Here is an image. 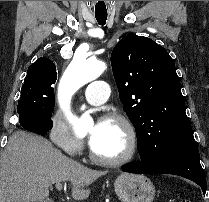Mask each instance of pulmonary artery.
<instances>
[{"label": "pulmonary artery", "instance_id": "pulmonary-artery-1", "mask_svg": "<svg viewBox=\"0 0 209 202\" xmlns=\"http://www.w3.org/2000/svg\"><path fill=\"white\" fill-rule=\"evenodd\" d=\"M111 85L103 80H95L85 88V98L91 105H102L109 95Z\"/></svg>", "mask_w": 209, "mask_h": 202}]
</instances>
